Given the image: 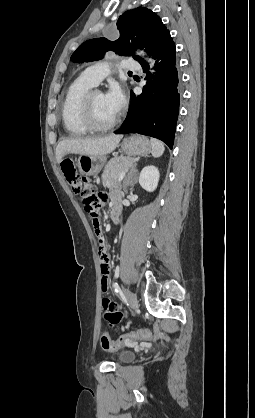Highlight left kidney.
Here are the masks:
<instances>
[{"mask_svg":"<svg viewBox=\"0 0 255 418\" xmlns=\"http://www.w3.org/2000/svg\"><path fill=\"white\" fill-rule=\"evenodd\" d=\"M159 177V171L155 166H146L140 172L139 184L146 191L153 192L157 188Z\"/></svg>","mask_w":255,"mask_h":418,"instance_id":"left-kidney-1","label":"left kidney"}]
</instances>
